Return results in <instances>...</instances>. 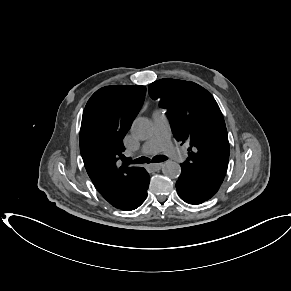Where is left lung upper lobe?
Instances as JSON below:
<instances>
[{
  "label": "left lung upper lobe",
  "instance_id": "left-lung-upper-lobe-1",
  "mask_svg": "<svg viewBox=\"0 0 291 291\" xmlns=\"http://www.w3.org/2000/svg\"><path fill=\"white\" fill-rule=\"evenodd\" d=\"M149 95L167 109L175 138L189 144V157L181 167L221 185L228 166L229 141L213 96L194 82L165 78L149 85Z\"/></svg>",
  "mask_w": 291,
  "mask_h": 291
}]
</instances>
